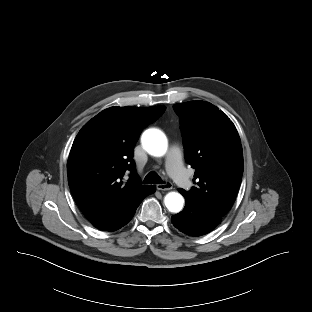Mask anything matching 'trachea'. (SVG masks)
Wrapping results in <instances>:
<instances>
[{"mask_svg": "<svg viewBox=\"0 0 312 312\" xmlns=\"http://www.w3.org/2000/svg\"><path fill=\"white\" fill-rule=\"evenodd\" d=\"M164 182L156 172H150L144 179V184H163Z\"/></svg>", "mask_w": 312, "mask_h": 312, "instance_id": "obj_1", "label": "trachea"}]
</instances>
